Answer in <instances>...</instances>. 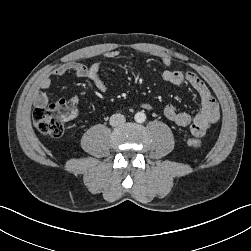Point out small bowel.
<instances>
[{
    "label": "small bowel",
    "instance_id": "c3829d8e",
    "mask_svg": "<svg viewBox=\"0 0 251 251\" xmlns=\"http://www.w3.org/2000/svg\"><path fill=\"white\" fill-rule=\"evenodd\" d=\"M107 59H115L119 56L117 50L108 51L104 54ZM162 64L166 67L162 74L163 80L180 85L187 82L198 94L200 100V111L191 117L188 113L178 110L174 105H166L162 112L166 119L174 124L182 127L190 128L194 136L201 137L206 131L212 127L220 118L219 106L211 94L207 85L192 71L172 69L173 62L169 57L162 58ZM101 62L95 61L90 65H85L79 62H68L53 70L54 76H63L72 71L77 77L88 79L93 86L102 93L108 91V84L100 76ZM52 81L50 77H44L39 83L42 90L49 89ZM48 102L47 95L44 92H39L35 97L37 106L45 105ZM70 103L77 107L79 99L77 96L70 98ZM143 107L151 110L152 105L149 103L143 104Z\"/></svg>",
    "mask_w": 251,
    "mask_h": 251
}]
</instances>
